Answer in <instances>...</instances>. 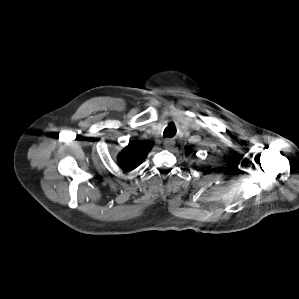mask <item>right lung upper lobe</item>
Segmentation results:
<instances>
[{
  "mask_svg": "<svg viewBox=\"0 0 299 299\" xmlns=\"http://www.w3.org/2000/svg\"><path fill=\"white\" fill-rule=\"evenodd\" d=\"M150 150L144 143L134 141L119 154L118 163L123 169L131 171L144 161Z\"/></svg>",
  "mask_w": 299,
  "mask_h": 299,
  "instance_id": "1",
  "label": "right lung upper lobe"
}]
</instances>
